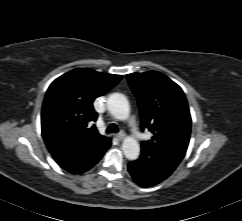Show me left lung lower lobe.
Here are the masks:
<instances>
[{"instance_id":"left-lung-lower-lobe-1","label":"left lung lower lobe","mask_w":242,"mask_h":221,"mask_svg":"<svg viewBox=\"0 0 242 221\" xmlns=\"http://www.w3.org/2000/svg\"><path fill=\"white\" fill-rule=\"evenodd\" d=\"M178 164L165 154L142 147L139 159L130 162L128 170L138 185L151 187L169 177Z\"/></svg>"}]
</instances>
